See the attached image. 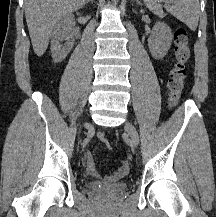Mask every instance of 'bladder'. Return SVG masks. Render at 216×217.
<instances>
[{
	"instance_id": "obj_1",
	"label": "bladder",
	"mask_w": 216,
	"mask_h": 217,
	"mask_svg": "<svg viewBox=\"0 0 216 217\" xmlns=\"http://www.w3.org/2000/svg\"><path fill=\"white\" fill-rule=\"evenodd\" d=\"M88 188L99 195H105L110 198H114L126 192L127 184L117 183L109 186L99 187L97 184L91 183L88 184Z\"/></svg>"
}]
</instances>
